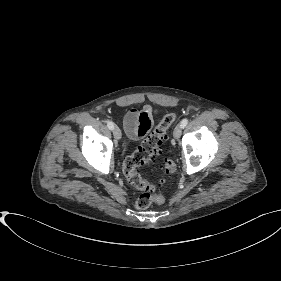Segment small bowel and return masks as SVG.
Segmentation results:
<instances>
[{"instance_id": "1", "label": "small bowel", "mask_w": 281, "mask_h": 281, "mask_svg": "<svg viewBox=\"0 0 281 281\" xmlns=\"http://www.w3.org/2000/svg\"><path fill=\"white\" fill-rule=\"evenodd\" d=\"M153 114L154 110L149 105H145L141 110L132 109L126 113L122 118L126 134L131 139L143 138L152 127Z\"/></svg>"}]
</instances>
